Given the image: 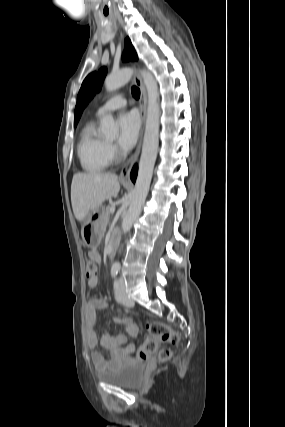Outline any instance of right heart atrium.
Wrapping results in <instances>:
<instances>
[{
  "mask_svg": "<svg viewBox=\"0 0 285 427\" xmlns=\"http://www.w3.org/2000/svg\"><path fill=\"white\" fill-rule=\"evenodd\" d=\"M108 149H109V154H110L111 158H114V157L117 156L118 150H117V148H116V146L114 144L109 143L108 144Z\"/></svg>",
  "mask_w": 285,
  "mask_h": 427,
  "instance_id": "right-heart-atrium-1",
  "label": "right heart atrium"
}]
</instances>
